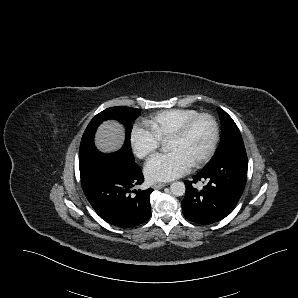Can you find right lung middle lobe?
<instances>
[{
	"mask_svg": "<svg viewBox=\"0 0 298 298\" xmlns=\"http://www.w3.org/2000/svg\"><path fill=\"white\" fill-rule=\"evenodd\" d=\"M139 115V109L124 106L110 107L97 114L91 120L82 136L79 150L80 173L83 174L98 167L97 159L101 157L102 153L94 145V135L99 124L108 119H115L126 126L124 146L121 150L114 153V155L126 163H134V157L130 147L131 122Z\"/></svg>",
	"mask_w": 298,
	"mask_h": 298,
	"instance_id": "obj_1",
	"label": "right lung middle lobe"
}]
</instances>
